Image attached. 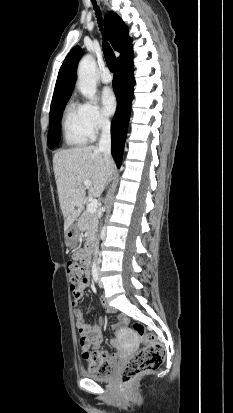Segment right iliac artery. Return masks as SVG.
I'll list each match as a JSON object with an SVG mask.
<instances>
[{
  "instance_id": "right-iliac-artery-1",
  "label": "right iliac artery",
  "mask_w": 233,
  "mask_h": 413,
  "mask_svg": "<svg viewBox=\"0 0 233 413\" xmlns=\"http://www.w3.org/2000/svg\"><path fill=\"white\" fill-rule=\"evenodd\" d=\"M92 275H93L94 281L97 282L99 279V276H98V270L95 265H93L92 267Z\"/></svg>"
}]
</instances>
